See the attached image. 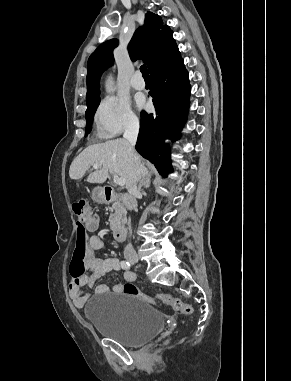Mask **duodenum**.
Returning <instances> with one entry per match:
<instances>
[{
    "instance_id": "obj_1",
    "label": "duodenum",
    "mask_w": 291,
    "mask_h": 381,
    "mask_svg": "<svg viewBox=\"0 0 291 381\" xmlns=\"http://www.w3.org/2000/svg\"><path fill=\"white\" fill-rule=\"evenodd\" d=\"M103 201L105 203H113L119 201L128 207H134L135 200L129 196L121 195L111 187H103L101 189ZM116 242H124L127 236L126 227L123 224H117L113 230Z\"/></svg>"
}]
</instances>
